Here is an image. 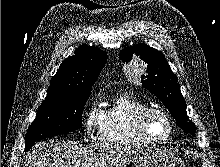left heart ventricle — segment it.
<instances>
[{
    "mask_svg": "<svg viewBox=\"0 0 220 167\" xmlns=\"http://www.w3.org/2000/svg\"><path fill=\"white\" fill-rule=\"evenodd\" d=\"M146 131L151 138L159 139L168 134L169 126L162 116L153 113L146 120Z\"/></svg>",
    "mask_w": 220,
    "mask_h": 167,
    "instance_id": "1",
    "label": "left heart ventricle"
}]
</instances>
